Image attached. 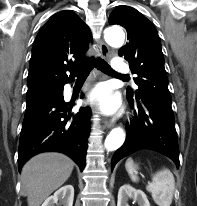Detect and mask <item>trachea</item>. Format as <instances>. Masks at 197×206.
I'll return each instance as SVG.
<instances>
[{"instance_id": "obj_1", "label": "trachea", "mask_w": 197, "mask_h": 206, "mask_svg": "<svg viewBox=\"0 0 197 206\" xmlns=\"http://www.w3.org/2000/svg\"><path fill=\"white\" fill-rule=\"evenodd\" d=\"M93 67H96L97 69H99L101 72L105 73V74H109V75H115V76H120V77H125L122 74H118L116 73L111 67L110 65L104 61L101 58L98 59H90L87 64H85L81 69H80V74L79 77H85L89 74V72L91 71V69Z\"/></svg>"}]
</instances>
